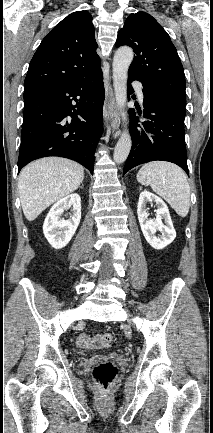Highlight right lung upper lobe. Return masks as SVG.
<instances>
[{
	"mask_svg": "<svg viewBox=\"0 0 213 433\" xmlns=\"http://www.w3.org/2000/svg\"><path fill=\"white\" fill-rule=\"evenodd\" d=\"M92 16L77 11L44 37L35 52L24 86L58 87L73 83L100 69Z\"/></svg>",
	"mask_w": 213,
	"mask_h": 433,
	"instance_id": "obj_1",
	"label": "right lung upper lobe"
}]
</instances>
